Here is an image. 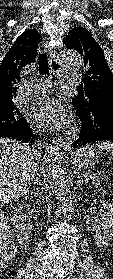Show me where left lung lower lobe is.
<instances>
[{
	"mask_svg": "<svg viewBox=\"0 0 113 279\" xmlns=\"http://www.w3.org/2000/svg\"><path fill=\"white\" fill-rule=\"evenodd\" d=\"M87 105L73 101L81 121L80 134L73 143L74 149L93 142L113 141V102L102 101L91 108Z\"/></svg>",
	"mask_w": 113,
	"mask_h": 279,
	"instance_id": "1",
	"label": "left lung lower lobe"
}]
</instances>
